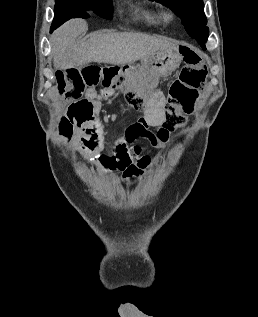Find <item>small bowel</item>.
I'll return each mask as SVG.
<instances>
[{
  "label": "small bowel",
  "instance_id": "obj_1",
  "mask_svg": "<svg viewBox=\"0 0 258 317\" xmlns=\"http://www.w3.org/2000/svg\"><path fill=\"white\" fill-rule=\"evenodd\" d=\"M66 113L75 121L74 146L99 170L120 173L124 180L141 177L152 166L151 158L142 155V148L136 144L138 139H145L156 148L166 147L169 140L168 130L159 128L153 132L154 122L141 118L124 131L117 132L113 152L108 156L102 155L107 145L110 117L103 115L100 104L86 96L69 105Z\"/></svg>",
  "mask_w": 258,
  "mask_h": 317
}]
</instances>
